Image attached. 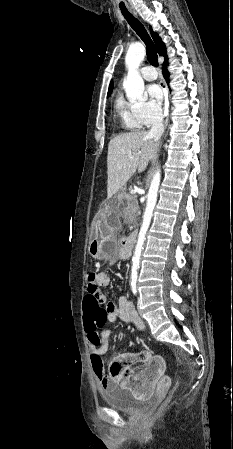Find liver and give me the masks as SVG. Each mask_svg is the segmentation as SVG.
Listing matches in <instances>:
<instances>
[{"label":"liver","mask_w":233,"mask_h":449,"mask_svg":"<svg viewBox=\"0 0 233 449\" xmlns=\"http://www.w3.org/2000/svg\"><path fill=\"white\" fill-rule=\"evenodd\" d=\"M157 146L147 131H134L110 140L107 155V197L115 195L138 170L154 159Z\"/></svg>","instance_id":"1"}]
</instances>
